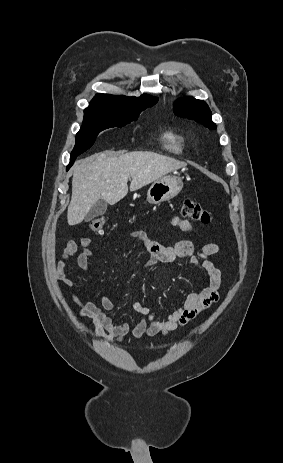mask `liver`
Returning <instances> with one entry per match:
<instances>
[{
  "instance_id": "6515ba94",
  "label": "liver",
  "mask_w": 283,
  "mask_h": 463,
  "mask_svg": "<svg viewBox=\"0 0 283 463\" xmlns=\"http://www.w3.org/2000/svg\"><path fill=\"white\" fill-rule=\"evenodd\" d=\"M185 166L182 161L150 151L122 155L105 151L79 160L73 167L68 224H80L98 200L114 205L123 199L130 177V191H136Z\"/></svg>"
}]
</instances>
